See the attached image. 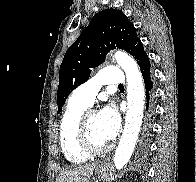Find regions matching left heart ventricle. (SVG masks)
<instances>
[{"label":"left heart ventricle","mask_w":196,"mask_h":182,"mask_svg":"<svg viewBox=\"0 0 196 182\" xmlns=\"http://www.w3.org/2000/svg\"><path fill=\"white\" fill-rule=\"evenodd\" d=\"M87 137L91 146L95 148L103 147L108 141L103 137L97 124V115L92 114L87 120Z\"/></svg>","instance_id":"obj_1"}]
</instances>
